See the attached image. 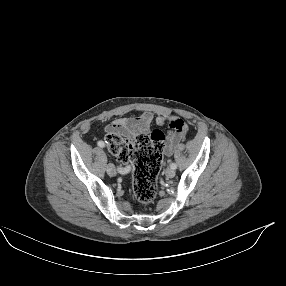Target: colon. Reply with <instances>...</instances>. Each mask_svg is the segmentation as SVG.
Wrapping results in <instances>:
<instances>
[{"label": "colon", "mask_w": 286, "mask_h": 286, "mask_svg": "<svg viewBox=\"0 0 286 286\" xmlns=\"http://www.w3.org/2000/svg\"><path fill=\"white\" fill-rule=\"evenodd\" d=\"M178 125L182 130L186 128L183 121H179ZM106 143L108 151L118 161L133 164L132 190L135 199L141 204L152 203L156 197L157 175L165 145L164 133L156 129L149 136L140 134L134 140L110 134Z\"/></svg>", "instance_id": "obj_1"}]
</instances>
